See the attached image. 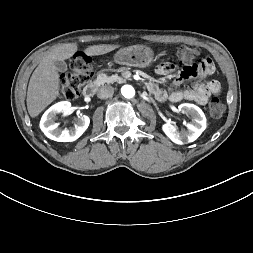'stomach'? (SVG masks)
<instances>
[{
	"mask_svg": "<svg viewBox=\"0 0 253 253\" xmlns=\"http://www.w3.org/2000/svg\"><path fill=\"white\" fill-rule=\"evenodd\" d=\"M154 59L153 50L146 45H133L121 48L114 55V61L120 65L147 67Z\"/></svg>",
	"mask_w": 253,
	"mask_h": 253,
	"instance_id": "1",
	"label": "stomach"
}]
</instances>
